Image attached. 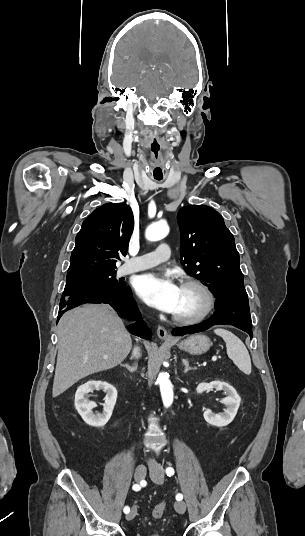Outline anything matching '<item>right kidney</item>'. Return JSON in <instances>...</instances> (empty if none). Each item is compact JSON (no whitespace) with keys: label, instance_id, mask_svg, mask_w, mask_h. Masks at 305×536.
I'll list each match as a JSON object with an SVG mask.
<instances>
[{"label":"right kidney","instance_id":"right-kidney-1","mask_svg":"<svg viewBox=\"0 0 305 536\" xmlns=\"http://www.w3.org/2000/svg\"><path fill=\"white\" fill-rule=\"evenodd\" d=\"M93 390H104V392H106V398H104L105 404H102V414H93L92 412L93 408H96L97 404H95V402H89L88 394L89 392H93ZM116 400L117 390L114 388V386L107 384V382H96V380H89V382H86V384L79 386L75 394V408L86 424L100 428V426H105L108 420H110Z\"/></svg>","mask_w":305,"mask_h":536}]
</instances>
